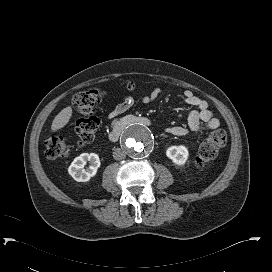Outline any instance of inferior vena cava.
<instances>
[{
	"instance_id": "1",
	"label": "inferior vena cava",
	"mask_w": 272,
	"mask_h": 272,
	"mask_svg": "<svg viewBox=\"0 0 272 272\" xmlns=\"http://www.w3.org/2000/svg\"><path fill=\"white\" fill-rule=\"evenodd\" d=\"M125 157H126V154L122 149L117 148V149L114 150L113 158L115 160H122V159H125Z\"/></svg>"
}]
</instances>
